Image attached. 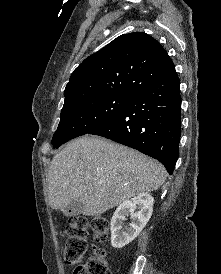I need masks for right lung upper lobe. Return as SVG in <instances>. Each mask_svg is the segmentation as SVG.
Listing matches in <instances>:
<instances>
[{"label": "right lung upper lobe", "instance_id": "right-lung-upper-lobe-1", "mask_svg": "<svg viewBox=\"0 0 221 274\" xmlns=\"http://www.w3.org/2000/svg\"><path fill=\"white\" fill-rule=\"evenodd\" d=\"M175 68L162 45L144 32L124 34L72 73L65 102L102 95L133 97Z\"/></svg>", "mask_w": 221, "mask_h": 274}]
</instances>
